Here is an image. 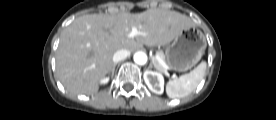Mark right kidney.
Segmentation results:
<instances>
[{"label": "right kidney", "instance_id": "1", "mask_svg": "<svg viewBox=\"0 0 276 120\" xmlns=\"http://www.w3.org/2000/svg\"><path fill=\"white\" fill-rule=\"evenodd\" d=\"M108 81H109V78H104V79L101 80V83H104V84H105V83H107Z\"/></svg>", "mask_w": 276, "mask_h": 120}]
</instances>
